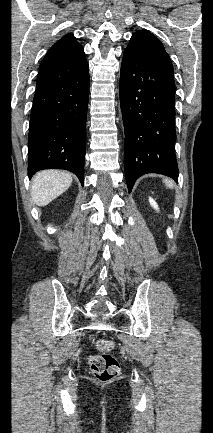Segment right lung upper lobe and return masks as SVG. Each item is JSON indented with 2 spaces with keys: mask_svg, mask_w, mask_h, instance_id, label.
<instances>
[{
  "mask_svg": "<svg viewBox=\"0 0 213 433\" xmlns=\"http://www.w3.org/2000/svg\"><path fill=\"white\" fill-rule=\"evenodd\" d=\"M84 58L82 46L76 41L73 34L69 33L63 36L49 49L39 69L73 64Z\"/></svg>",
  "mask_w": 213,
  "mask_h": 433,
  "instance_id": "cb5924a9",
  "label": "right lung upper lobe"
}]
</instances>
